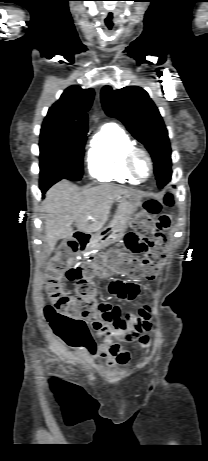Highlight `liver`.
Masks as SVG:
<instances>
[{
  "label": "liver",
  "instance_id": "1",
  "mask_svg": "<svg viewBox=\"0 0 208 461\" xmlns=\"http://www.w3.org/2000/svg\"><path fill=\"white\" fill-rule=\"evenodd\" d=\"M133 192L118 186L103 184L87 189L64 180L55 184L46 194L44 211L45 242L52 252L59 239H70L75 222L79 232H99L105 225L113 201Z\"/></svg>",
  "mask_w": 208,
  "mask_h": 461
}]
</instances>
